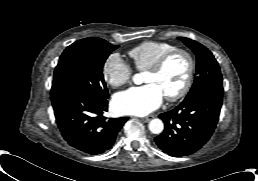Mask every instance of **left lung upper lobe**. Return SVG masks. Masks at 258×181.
Masks as SVG:
<instances>
[{
  "mask_svg": "<svg viewBox=\"0 0 258 181\" xmlns=\"http://www.w3.org/2000/svg\"><path fill=\"white\" fill-rule=\"evenodd\" d=\"M179 39L195 53L197 59V77L184 101L192 100L209 91L223 92L221 71L212 53L194 40L185 37Z\"/></svg>",
  "mask_w": 258,
  "mask_h": 181,
  "instance_id": "5c2ea615",
  "label": "left lung upper lobe"
}]
</instances>
